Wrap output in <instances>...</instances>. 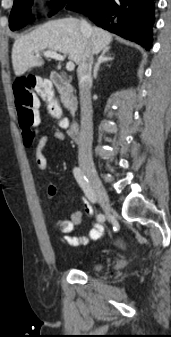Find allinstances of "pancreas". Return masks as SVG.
Masks as SVG:
<instances>
[{"mask_svg":"<svg viewBox=\"0 0 171 337\" xmlns=\"http://www.w3.org/2000/svg\"><path fill=\"white\" fill-rule=\"evenodd\" d=\"M61 101L65 105V107H67L69 109H72L68 96H66L65 94H62L61 95Z\"/></svg>","mask_w":171,"mask_h":337,"instance_id":"obj_1","label":"pancreas"}]
</instances>
